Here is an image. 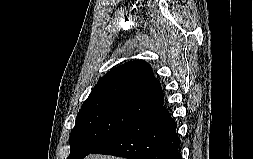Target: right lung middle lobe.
Returning a JSON list of instances; mask_svg holds the SVG:
<instances>
[{
  "label": "right lung middle lobe",
  "mask_w": 253,
  "mask_h": 159,
  "mask_svg": "<svg viewBox=\"0 0 253 159\" xmlns=\"http://www.w3.org/2000/svg\"><path fill=\"white\" fill-rule=\"evenodd\" d=\"M156 108L154 103L126 96L86 99L70 134L67 159H82Z\"/></svg>",
  "instance_id": "obj_1"
}]
</instances>
